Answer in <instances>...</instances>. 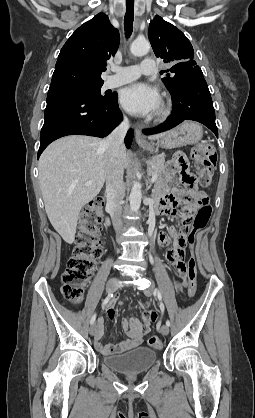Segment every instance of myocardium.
Segmentation results:
<instances>
[{
	"mask_svg": "<svg viewBox=\"0 0 255 418\" xmlns=\"http://www.w3.org/2000/svg\"><path fill=\"white\" fill-rule=\"evenodd\" d=\"M170 112H171V106L169 104H165L159 112V118L164 119L168 117Z\"/></svg>",
	"mask_w": 255,
	"mask_h": 418,
	"instance_id": "f54148a6",
	"label": "myocardium"
}]
</instances>
